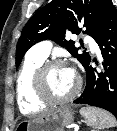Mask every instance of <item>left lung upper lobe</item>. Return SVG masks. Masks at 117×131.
<instances>
[{"instance_id": "left-lung-upper-lobe-1", "label": "left lung upper lobe", "mask_w": 117, "mask_h": 131, "mask_svg": "<svg viewBox=\"0 0 117 131\" xmlns=\"http://www.w3.org/2000/svg\"><path fill=\"white\" fill-rule=\"evenodd\" d=\"M111 0H53L27 22L22 30L16 48V67L27 52L37 42L52 39L66 49L84 65L90 58L87 52L78 53L80 48L74 41L65 40V34H79V25L85 27L83 33L96 37L104 12Z\"/></svg>"}]
</instances>
